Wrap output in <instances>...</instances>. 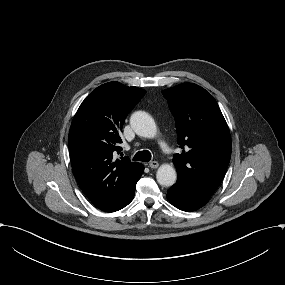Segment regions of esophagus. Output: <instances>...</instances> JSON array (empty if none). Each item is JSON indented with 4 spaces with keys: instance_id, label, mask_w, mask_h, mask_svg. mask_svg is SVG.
Here are the masks:
<instances>
[{
    "instance_id": "1",
    "label": "esophagus",
    "mask_w": 285,
    "mask_h": 285,
    "mask_svg": "<svg viewBox=\"0 0 285 285\" xmlns=\"http://www.w3.org/2000/svg\"><path fill=\"white\" fill-rule=\"evenodd\" d=\"M158 166H159V163L157 161H152L149 163V167L152 169H156L158 168Z\"/></svg>"
}]
</instances>
